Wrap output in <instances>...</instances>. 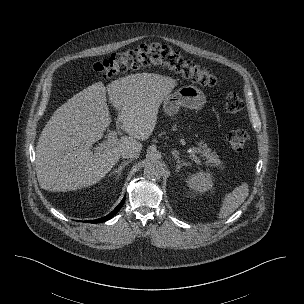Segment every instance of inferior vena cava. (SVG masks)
I'll list each match as a JSON object with an SVG mask.
<instances>
[{"label":"inferior vena cava","mask_w":304,"mask_h":304,"mask_svg":"<svg viewBox=\"0 0 304 304\" xmlns=\"http://www.w3.org/2000/svg\"><path fill=\"white\" fill-rule=\"evenodd\" d=\"M139 155H140L139 151L135 149L123 151L121 153L122 158H129V159H137Z\"/></svg>","instance_id":"1"}]
</instances>
